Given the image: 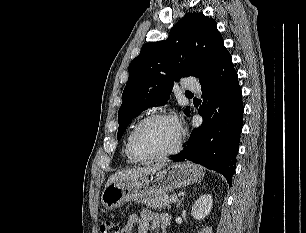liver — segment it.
<instances>
[{
  "label": "liver",
  "mask_w": 306,
  "mask_h": 233,
  "mask_svg": "<svg viewBox=\"0 0 306 233\" xmlns=\"http://www.w3.org/2000/svg\"><path fill=\"white\" fill-rule=\"evenodd\" d=\"M165 166V162H159L155 165L148 166V167H142V168H135V169H129L124 170L120 172H116L115 174L111 175L110 178L107 180L105 187H107L109 184L125 179L135 178L142 174L154 172L157 170L162 169Z\"/></svg>",
  "instance_id": "1"
}]
</instances>
